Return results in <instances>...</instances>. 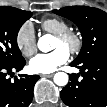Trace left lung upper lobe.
Instances as JSON below:
<instances>
[{"label":"left lung upper lobe","mask_w":107,"mask_h":107,"mask_svg":"<svg viewBox=\"0 0 107 107\" xmlns=\"http://www.w3.org/2000/svg\"><path fill=\"white\" fill-rule=\"evenodd\" d=\"M53 12L73 21L81 31L83 46L73 62L82 63L94 56L107 53L106 12L88 6L64 7Z\"/></svg>","instance_id":"left-lung-upper-lobe-1"}]
</instances>
